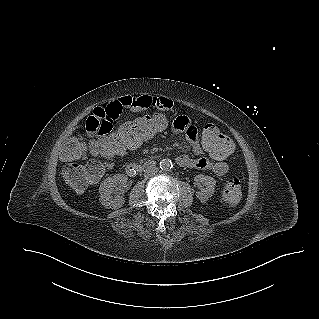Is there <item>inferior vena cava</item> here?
Segmentation results:
<instances>
[{"label":"inferior vena cava","instance_id":"1","mask_svg":"<svg viewBox=\"0 0 319 319\" xmlns=\"http://www.w3.org/2000/svg\"><path fill=\"white\" fill-rule=\"evenodd\" d=\"M157 172H158V168L152 167V168H149V169H147V170L145 171L144 176H145V177L153 176V175H155Z\"/></svg>","mask_w":319,"mask_h":319}]
</instances>
